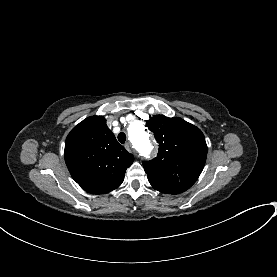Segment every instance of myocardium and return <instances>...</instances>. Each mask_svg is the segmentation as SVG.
<instances>
[{
	"label": "myocardium",
	"mask_w": 277,
	"mask_h": 277,
	"mask_svg": "<svg viewBox=\"0 0 277 277\" xmlns=\"http://www.w3.org/2000/svg\"><path fill=\"white\" fill-rule=\"evenodd\" d=\"M127 139H128V137H127ZM129 142V141H128ZM129 145H130V143H129ZM130 147L132 148V150L134 151V149H133V147L130 145ZM135 152V151H134Z\"/></svg>",
	"instance_id": "myocardium-1"
}]
</instances>
